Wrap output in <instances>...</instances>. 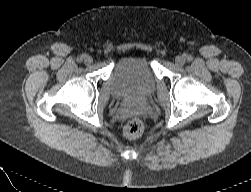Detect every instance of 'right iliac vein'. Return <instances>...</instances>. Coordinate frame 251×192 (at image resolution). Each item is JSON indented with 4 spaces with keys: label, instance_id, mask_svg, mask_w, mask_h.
I'll return each instance as SVG.
<instances>
[{
    "label": "right iliac vein",
    "instance_id": "63e3f726",
    "mask_svg": "<svg viewBox=\"0 0 251 192\" xmlns=\"http://www.w3.org/2000/svg\"><path fill=\"white\" fill-rule=\"evenodd\" d=\"M85 64H91L93 62V58L91 56H86L84 58Z\"/></svg>",
    "mask_w": 251,
    "mask_h": 192
}]
</instances>
